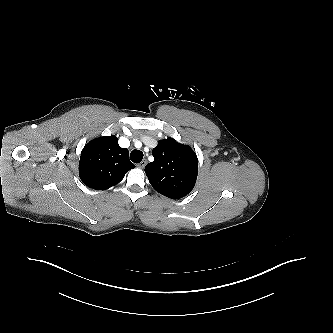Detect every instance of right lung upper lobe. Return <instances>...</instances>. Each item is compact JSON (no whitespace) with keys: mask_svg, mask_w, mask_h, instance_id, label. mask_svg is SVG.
I'll use <instances>...</instances> for the list:
<instances>
[{"mask_svg":"<svg viewBox=\"0 0 333 333\" xmlns=\"http://www.w3.org/2000/svg\"><path fill=\"white\" fill-rule=\"evenodd\" d=\"M135 165L128 149L121 148L114 135L91 140L83 148L79 176L89 188L105 190L118 184Z\"/></svg>","mask_w":333,"mask_h":333,"instance_id":"1","label":"right lung upper lobe"}]
</instances>
